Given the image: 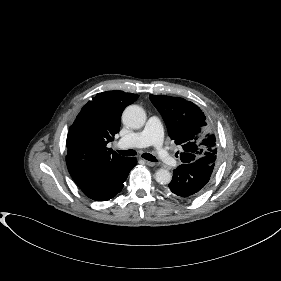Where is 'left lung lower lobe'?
Segmentation results:
<instances>
[{
	"mask_svg": "<svg viewBox=\"0 0 281 281\" xmlns=\"http://www.w3.org/2000/svg\"><path fill=\"white\" fill-rule=\"evenodd\" d=\"M216 164V156H206L194 162L181 164L173 170L169 190L180 199L197 196L208 184Z\"/></svg>",
	"mask_w": 281,
	"mask_h": 281,
	"instance_id": "1",
	"label": "left lung lower lobe"
}]
</instances>
